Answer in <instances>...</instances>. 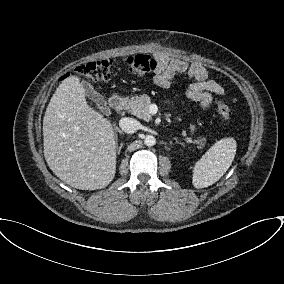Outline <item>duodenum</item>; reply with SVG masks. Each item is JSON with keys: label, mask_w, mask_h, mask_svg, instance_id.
<instances>
[{"label": "duodenum", "mask_w": 284, "mask_h": 284, "mask_svg": "<svg viewBox=\"0 0 284 284\" xmlns=\"http://www.w3.org/2000/svg\"><path fill=\"white\" fill-rule=\"evenodd\" d=\"M124 103H125L124 98L117 93L113 94L109 99L110 107L116 112H119L123 109Z\"/></svg>", "instance_id": "1"}]
</instances>
